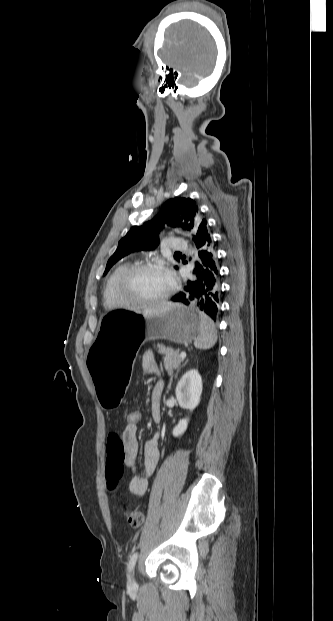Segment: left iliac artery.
Returning a JSON list of instances; mask_svg holds the SVG:
<instances>
[{
  "instance_id": "1",
  "label": "left iliac artery",
  "mask_w": 333,
  "mask_h": 621,
  "mask_svg": "<svg viewBox=\"0 0 333 621\" xmlns=\"http://www.w3.org/2000/svg\"><path fill=\"white\" fill-rule=\"evenodd\" d=\"M137 558H138V552L133 553L132 556L130 557V560H129V563H128V572L129 573L133 570V568L135 566V563L137 561Z\"/></svg>"
}]
</instances>
